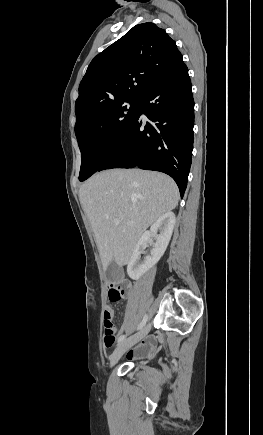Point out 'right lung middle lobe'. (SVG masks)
I'll list each match as a JSON object with an SVG mask.
<instances>
[{
  "label": "right lung middle lobe",
  "mask_w": 263,
  "mask_h": 435,
  "mask_svg": "<svg viewBox=\"0 0 263 435\" xmlns=\"http://www.w3.org/2000/svg\"><path fill=\"white\" fill-rule=\"evenodd\" d=\"M141 99L114 102L75 128L81 151L79 180L93 175L121 143L139 112Z\"/></svg>",
  "instance_id": "obj_1"
}]
</instances>
